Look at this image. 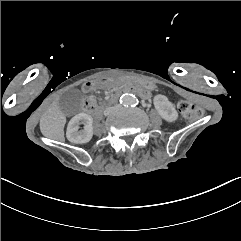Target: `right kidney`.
Returning <instances> with one entry per match:
<instances>
[{
    "label": "right kidney",
    "mask_w": 241,
    "mask_h": 241,
    "mask_svg": "<svg viewBox=\"0 0 241 241\" xmlns=\"http://www.w3.org/2000/svg\"><path fill=\"white\" fill-rule=\"evenodd\" d=\"M93 118L86 113L75 115L68 123L66 137L76 144L87 143L93 136ZM84 124V129L79 130V125Z\"/></svg>",
    "instance_id": "right-kidney-1"
}]
</instances>
